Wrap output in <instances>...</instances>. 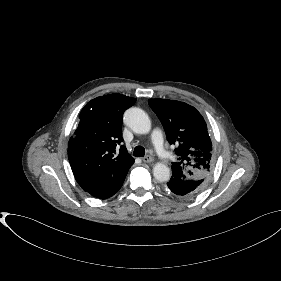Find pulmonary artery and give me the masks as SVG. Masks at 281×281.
Here are the masks:
<instances>
[{"label":"pulmonary artery","mask_w":281,"mask_h":281,"mask_svg":"<svg viewBox=\"0 0 281 281\" xmlns=\"http://www.w3.org/2000/svg\"><path fill=\"white\" fill-rule=\"evenodd\" d=\"M152 142L155 149L160 153L167 157L170 156L168 152H166L164 143H163V136L160 130L156 129L152 132Z\"/></svg>","instance_id":"e3ab8cb5"}]
</instances>
